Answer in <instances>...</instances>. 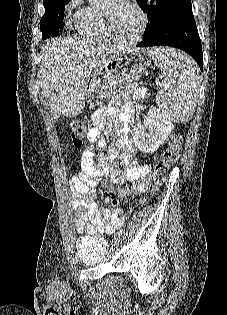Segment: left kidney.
Segmentation results:
<instances>
[{
	"mask_svg": "<svg viewBox=\"0 0 227 315\" xmlns=\"http://www.w3.org/2000/svg\"><path fill=\"white\" fill-rule=\"evenodd\" d=\"M174 129V125L157 108L152 107L144 122L133 129L135 146L144 153H154L158 150Z\"/></svg>",
	"mask_w": 227,
	"mask_h": 315,
	"instance_id": "1",
	"label": "left kidney"
}]
</instances>
